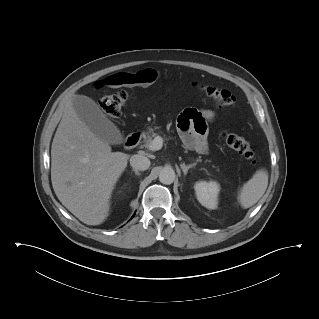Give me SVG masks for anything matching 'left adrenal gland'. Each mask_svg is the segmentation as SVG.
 Segmentation results:
<instances>
[{
  "mask_svg": "<svg viewBox=\"0 0 319 319\" xmlns=\"http://www.w3.org/2000/svg\"><path fill=\"white\" fill-rule=\"evenodd\" d=\"M195 165H196V163L189 164V165H185V163H183V164H180V167H181V169H182L184 175H186V174L188 173V170H189L190 168H193Z\"/></svg>",
  "mask_w": 319,
  "mask_h": 319,
  "instance_id": "obj_1",
  "label": "left adrenal gland"
}]
</instances>
